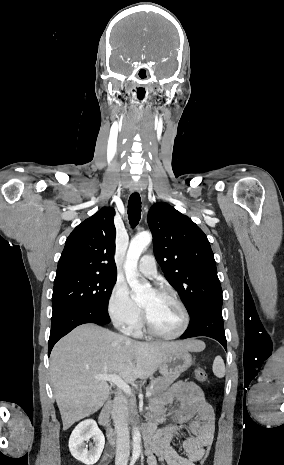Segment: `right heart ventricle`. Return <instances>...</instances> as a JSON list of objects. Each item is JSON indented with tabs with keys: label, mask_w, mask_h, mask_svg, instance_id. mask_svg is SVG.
I'll list each match as a JSON object with an SVG mask.
<instances>
[{
	"label": "right heart ventricle",
	"mask_w": 284,
	"mask_h": 465,
	"mask_svg": "<svg viewBox=\"0 0 284 465\" xmlns=\"http://www.w3.org/2000/svg\"><path fill=\"white\" fill-rule=\"evenodd\" d=\"M140 322H141V320H139L138 324H139ZM129 331H130V333H137V332H138V330H137V329H134V328H132V329L129 330Z\"/></svg>",
	"instance_id": "right-heart-ventricle-1"
}]
</instances>
